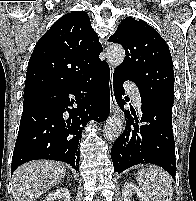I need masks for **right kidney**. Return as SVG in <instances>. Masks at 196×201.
<instances>
[{
  "label": "right kidney",
  "mask_w": 196,
  "mask_h": 201,
  "mask_svg": "<svg viewBox=\"0 0 196 201\" xmlns=\"http://www.w3.org/2000/svg\"><path fill=\"white\" fill-rule=\"evenodd\" d=\"M70 201L71 193L68 188L61 187L54 192L49 193L43 201Z\"/></svg>",
  "instance_id": "1"
}]
</instances>
